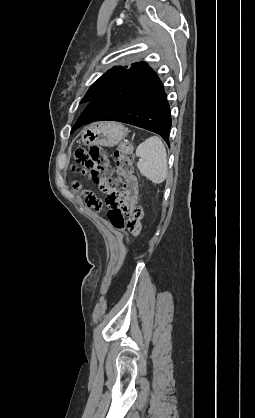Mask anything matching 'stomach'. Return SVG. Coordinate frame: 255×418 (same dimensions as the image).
Returning a JSON list of instances; mask_svg holds the SVG:
<instances>
[{
  "mask_svg": "<svg viewBox=\"0 0 255 418\" xmlns=\"http://www.w3.org/2000/svg\"><path fill=\"white\" fill-rule=\"evenodd\" d=\"M127 130L119 124L102 122L85 129L82 134V141L86 145L114 146L122 141Z\"/></svg>",
  "mask_w": 255,
  "mask_h": 418,
  "instance_id": "stomach-1",
  "label": "stomach"
}]
</instances>
